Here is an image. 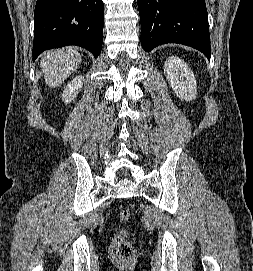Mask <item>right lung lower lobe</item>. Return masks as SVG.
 <instances>
[{"instance_id": "right-lung-lower-lobe-1", "label": "right lung lower lobe", "mask_w": 253, "mask_h": 271, "mask_svg": "<svg viewBox=\"0 0 253 271\" xmlns=\"http://www.w3.org/2000/svg\"><path fill=\"white\" fill-rule=\"evenodd\" d=\"M102 0H37L33 61L45 50L77 45L97 57L102 49Z\"/></svg>"}]
</instances>
